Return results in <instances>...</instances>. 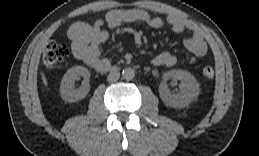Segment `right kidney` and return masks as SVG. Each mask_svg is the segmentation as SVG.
Listing matches in <instances>:
<instances>
[{"label":"right kidney","mask_w":259,"mask_h":156,"mask_svg":"<svg viewBox=\"0 0 259 156\" xmlns=\"http://www.w3.org/2000/svg\"><path fill=\"white\" fill-rule=\"evenodd\" d=\"M83 77L79 88H75V81ZM90 72L84 66H75L67 70L61 81V97L66 102H77L87 96L90 91Z\"/></svg>","instance_id":"obj_1"}]
</instances>
